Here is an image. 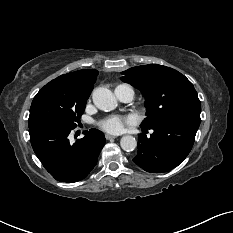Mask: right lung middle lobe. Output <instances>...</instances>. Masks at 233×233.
I'll return each mask as SVG.
<instances>
[{"label":"right lung middle lobe","mask_w":233,"mask_h":233,"mask_svg":"<svg viewBox=\"0 0 233 233\" xmlns=\"http://www.w3.org/2000/svg\"><path fill=\"white\" fill-rule=\"evenodd\" d=\"M88 97L86 93L72 91L52 80L34 97L28 126L48 122L75 128L80 122Z\"/></svg>","instance_id":"1"}]
</instances>
